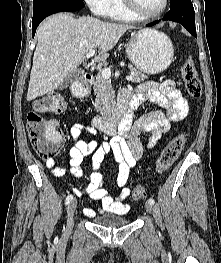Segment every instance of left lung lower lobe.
<instances>
[{
	"instance_id": "obj_1",
	"label": "left lung lower lobe",
	"mask_w": 221,
	"mask_h": 263,
	"mask_svg": "<svg viewBox=\"0 0 221 263\" xmlns=\"http://www.w3.org/2000/svg\"><path fill=\"white\" fill-rule=\"evenodd\" d=\"M163 20H171L181 23L186 30H188L193 36L197 37L195 29V12L191 1L177 6H170V11L166 13ZM159 22L160 20L150 23L147 26L151 27Z\"/></svg>"
}]
</instances>
